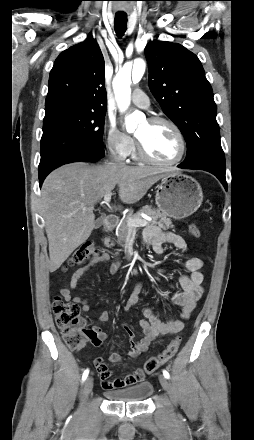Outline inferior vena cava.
<instances>
[{"mask_svg": "<svg viewBox=\"0 0 254 440\" xmlns=\"http://www.w3.org/2000/svg\"><path fill=\"white\" fill-rule=\"evenodd\" d=\"M110 159H111V161L114 162L115 164L124 165V163L122 162V160L119 159L113 151H111Z\"/></svg>", "mask_w": 254, "mask_h": 440, "instance_id": "inferior-vena-cava-1", "label": "inferior vena cava"}]
</instances>
